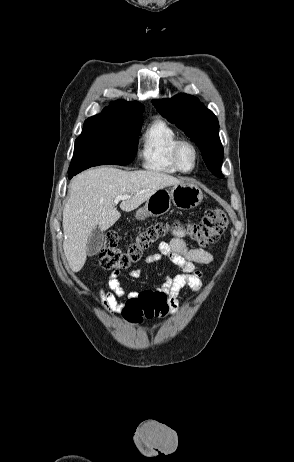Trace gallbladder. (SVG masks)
Masks as SVG:
<instances>
[{
	"label": "gallbladder",
	"mask_w": 294,
	"mask_h": 462,
	"mask_svg": "<svg viewBox=\"0 0 294 462\" xmlns=\"http://www.w3.org/2000/svg\"><path fill=\"white\" fill-rule=\"evenodd\" d=\"M103 242L104 232L99 227H95L87 240L86 250L88 256L97 254L101 250Z\"/></svg>",
	"instance_id": "obj_1"
}]
</instances>
